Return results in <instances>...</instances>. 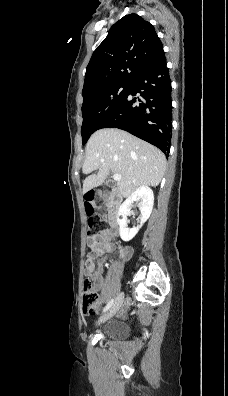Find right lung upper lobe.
Wrapping results in <instances>:
<instances>
[{"label":"right lung upper lobe","instance_id":"1","mask_svg":"<svg viewBox=\"0 0 228 396\" xmlns=\"http://www.w3.org/2000/svg\"><path fill=\"white\" fill-rule=\"evenodd\" d=\"M161 47L153 25L137 14L124 16L94 51L82 94L114 83L132 82Z\"/></svg>","mask_w":228,"mask_h":396}]
</instances>
